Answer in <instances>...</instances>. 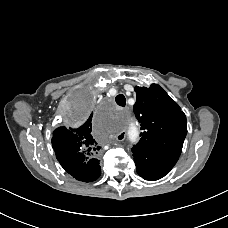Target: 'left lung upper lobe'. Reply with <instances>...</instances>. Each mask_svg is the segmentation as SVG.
<instances>
[{
  "mask_svg": "<svg viewBox=\"0 0 228 228\" xmlns=\"http://www.w3.org/2000/svg\"><path fill=\"white\" fill-rule=\"evenodd\" d=\"M134 113L141 124L136 149L179 157L187 134L186 116L179 105L157 84L135 87Z\"/></svg>",
  "mask_w": 228,
  "mask_h": 228,
  "instance_id": "left-lung-upper-lobe-1",
  "label": "left lung upper lobe"
}]
</instances>
